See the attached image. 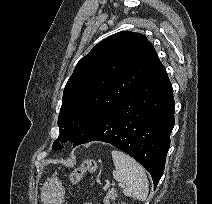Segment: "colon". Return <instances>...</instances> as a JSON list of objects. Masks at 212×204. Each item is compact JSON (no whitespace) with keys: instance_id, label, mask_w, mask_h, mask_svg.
I'll use <instances>...</instances> for the list:
<instances>
[{"instance_id":"colon-1","label":"colon","mask_w":212,"mask_h":204,"mask_svg":"<svg viewBox=\"0 0 212 204\" xmlns=\"http://www.w3.org/2000/svg\"><path fill=\"white\" fill-rule=\"evenodd\" d=\"M96 169L97 164L94 160H85L71 173L70 181L77 185L86 173H94Z\"/></svg>"}]
</instances>
